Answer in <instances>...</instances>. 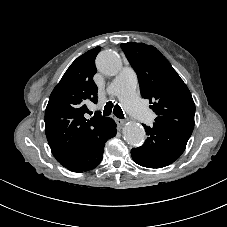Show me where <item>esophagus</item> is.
Instances as JSON below:
<instances>
[{
	"mask_svg": "<svg viewBox=\"0 0 227 227\" xmlns=\"http://www.w3.org/2000/svg\"><path fill=\"white\" fill-rule=\"evenodd\" d=\"M115 121H116L118 127H122L125 123V121L123 119H120V118H116Z\"/></svg>",
	"mask_w": 227,
	"mask_h": 227,
	"instance_id": "34e87169",
	"label": "esophagus"
}]
</instances>
